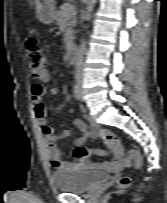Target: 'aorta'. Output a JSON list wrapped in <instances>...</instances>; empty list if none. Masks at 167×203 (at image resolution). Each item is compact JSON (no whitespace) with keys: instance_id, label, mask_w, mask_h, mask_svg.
I'll return each instance as SVG.
<instances>
[{"instance_id":"762f6f07","label":"aorta","mask_w":167,"mask_h":203,"mask_svg":"<svg viewBox=\"0 0 167 203\" xmlns=\"http://www.w3.org/2000/svg\"><path fill=\"white\" fill-rule=\"evenodd\" d=\"M95 3H96V0H88L87 1V15H86L87 20H90V18H91V13H92V10L95 6Z\"/></svg>"}]
</instances>
